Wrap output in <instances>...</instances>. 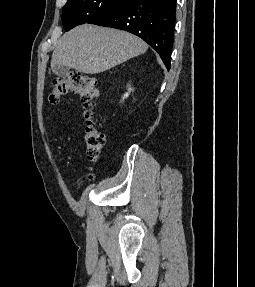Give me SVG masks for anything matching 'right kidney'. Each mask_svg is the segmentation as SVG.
<instances>
[{"instance_id": "obj_1", "label": "right kidney", "mask_w": 255, "mask_h": 287, "mask_svg": "<svg viewBox=\"0 0 255 287\" xmlns=\"http://www.w3.org/2000/svg\"><path fill=\"white\" fill-rule=\"evenodd\" d=\"M128 94H125L124 98H127Z\"/></svg>"}]
</instances>
